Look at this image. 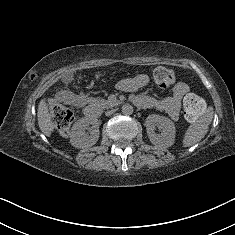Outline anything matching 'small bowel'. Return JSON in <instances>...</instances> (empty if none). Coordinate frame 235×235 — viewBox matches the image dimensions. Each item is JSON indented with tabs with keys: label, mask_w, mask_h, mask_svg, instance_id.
I'll return each instance as SVG.
<instances>
[{
	"label": "small bowel",
	"mask_w": 235,
	"mask_h": 235,
	"mask_svg": "<svg viewBox=\"0 0 235 235\" xmlns=\"http://www.w3.org/2000/svg\"><path fill=\"white\" fill-rule=\"evenodd\" d=\"M148 82V78L144 75L138 76L132 81H125L120 84L122 88H129L135 86L140 88ZM132 84V85H131ZM189 88L184 83H177L170 96L165 98H155L144 95H136L132 101L141 108H148L152 110L164 111L172 120H177L179 117L181 102L188 93Z\"/></svg>",
	"instance_id": "1"
}]
</instances>
